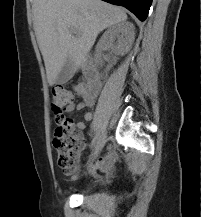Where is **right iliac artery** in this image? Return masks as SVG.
Here are the masks:
<instances>
[{
  "instance_id": "1",
  "label": "right iliac artery",
  "mask_w": 202,
  "mask_h": 217,
  "mask_svg": "<svg viewBox=\"0 0 202 217\" xmlns=\"http://www.w3.org/2000/svg\"><path fill=\"white\" fill-rule=\"evenodd\" d=\"M97 140H98V135H96V136L93 138V140H92V142H91V148H93V147L95 146V144L97 143Z\"/></svg>"
}]
</instances>
